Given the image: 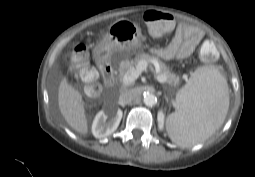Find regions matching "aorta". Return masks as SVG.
Returning <instances> with one entry per match:
<instances>
[{"label":"aorta","mask_w":255,"mask_h":177,"mask_svg":"<svg viewBox=\"0 0 255 177\" xmlns=\"http://www.w3.org/2000/svg\"><path fill=\"white\" fill-rule=\"evenodd\" d=\"M157 102L156 96L152 93H147L144 96V103L147 106H153Z\"/></svg>","instance_id":"obj_1"}]
</instances>
